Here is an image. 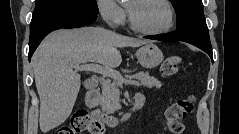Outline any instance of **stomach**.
<instances>
[{
  "mask_svg": "<svg viewBox=\"0 0 239 134\" xmlns=\"http://www.w3.org/2000/svg\"><path fill=\"white\" fill-rule=\"evenodd\" d=\"M136 57L141 66L147 69L155 68L163 61L162 51L151 42L139 48Z\"/></svg>",
  "mask_w": 239,
  "mask_h": 134,
  "instance_id": "0dacf381",
  "label": "stomach"
}]
</instances>
